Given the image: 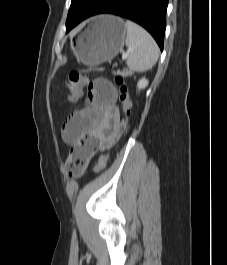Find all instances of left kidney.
Wrapping results in <instances>:
<instances>
[{
    "label": "left kidney",
    "instance_id": "1",
    "mask_svg": "<svg viewBox=\"0 0 227 265\" xmlns=\"http://www.w3.org/2000/svg\"><path fill=\"white\" fill-rule=\"evenodd\" d=\"M147 85H148V80L145 78L140 79L137 84L139 90L144 89Z\"/></svg>",
    "mask_w": 227,
    "mask_h": 265
}]
</instances>
